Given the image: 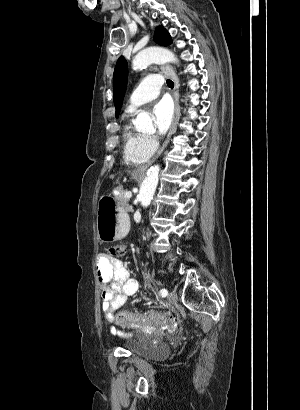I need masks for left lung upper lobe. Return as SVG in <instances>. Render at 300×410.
<instances>
[{"instance_id":"5c2ea615","label":"left lung upper lobe","mask_w":300,"mask_h":410,"mask_svg":"<svg viewBox=\"0 0 300 410\" xmlns=\"http://www.w3.org/2000/svg\"><path fill=\"white\" fill-rule=\"evenodd\" d=\"M154 41L162 46L172 44V39L168 31L163 26H158L155 30ZM128 78V63L126 59L119 57L113 74V98L116 108V117L120 113L123 98L126 91Z\"/></svg>"}]
</instances>
